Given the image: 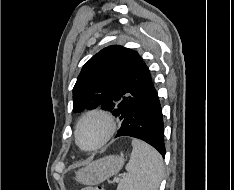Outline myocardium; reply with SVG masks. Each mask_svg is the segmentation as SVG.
Returning a JSON list of instances; mask_svg holds the SVG:
<instances>
[{
	"instance_id": "myocardium-1",
	"label": "myocardium",
	"mask_w": 234,
	"mask_h": 190,
	"mask_svg": "<svg viewBox=\"0 0 234 190\" xmlns=\"http://www.w3.org/2000/svg\"><path fill=\"white\" fill-rule=\"evenodd\" d=\"M94 119L99 120L103 123L104 134L99 142H97L96 144L90 147H85L84 145H82L80 141V131L86 122L90 120H94ZM115 129H116V124H115L114 118L109 112L103 109H99V108L92 109L86 112L78 120L76 127H75V132H74L75 141L79 145V147L83 149L84 151H94L104 146L111 139V137L113 136L115 132Z\"/></svg>"
}]
</instances>
